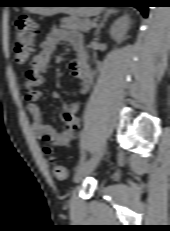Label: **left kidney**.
Instances as JSON below:
<instances>
[{
    "label": "left kidney",
    "instance_id": "5707ae66",
    "mask_svg": "<svg viewBox=\"0 0 170 231\" xmlns=\"http://www.w3.org/2000/svg\"><path fill=\"white\" fill-rule=\"evenodd\" d=\"M130 20L128 16L118 18L111 27L110 35L118 43L125 39L127 30L129 29Z\"/></svg>",
    "mask_w": 170,
    "mask_h": 231
}]
</instances>
